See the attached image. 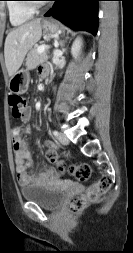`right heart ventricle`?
Instances as JSON below:
<instances>
[{"label":"right heart ventricle","instance_id":"right-heart-ventricle-1","mask_svg":"<svg viewBox=\"0 0 133 253\" xmlns=\"http://www.w3.org/2000/svg\"><path fill=\"white\" fill-rule=\"evenodd\" d=\"M8 16L13 26H20L29 21L34 11L28 9L20 0H10L7 3Z\"/></svg>","mask_w":133,"mask_h":253}]
</instances>
